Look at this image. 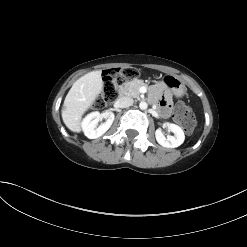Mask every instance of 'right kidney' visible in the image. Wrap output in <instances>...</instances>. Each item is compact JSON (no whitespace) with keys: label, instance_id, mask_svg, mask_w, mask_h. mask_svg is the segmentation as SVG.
Segmentation results:
<instances>
[{"label":"right kidney","instance_id":"obj_1","mask_svg":"<svg viewBox=\"0 0 247 247\" xmlns=\"http://www.w3.org/2000/svg\"><path fill=\"white\" fill-rule=\"evenodd\" d=\"M105 118L106 122L97 127L98 122ZM115 115L113 112L106 111L101 114L99 112H92L88 114L82 121V130L89 139H96L102 136L112 125Z\"/></svg>","mask_w":247,"mask_h":247}]
</instances>
